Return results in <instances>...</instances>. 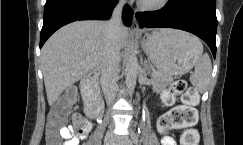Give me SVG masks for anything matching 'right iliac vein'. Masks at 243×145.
<instances>
[{
    "mask_svg": "<svg viewBox=\"0 0 243 145\" xmlns=\"http://www.w3.org/2000/svg\"><path fill=\"white\" fill-rule=\"evenodd\" d=\"M104 145H115V137L112 134H107L104 138Z\"/></svg>",
    "mask_w": 243,
    "mask_h": 145,
    "instance_id": "right-iliac-vein-1",
    "label": "right iliac vein"
}]
</instances>
